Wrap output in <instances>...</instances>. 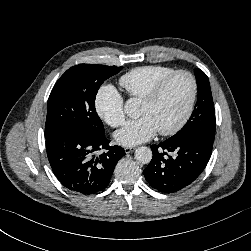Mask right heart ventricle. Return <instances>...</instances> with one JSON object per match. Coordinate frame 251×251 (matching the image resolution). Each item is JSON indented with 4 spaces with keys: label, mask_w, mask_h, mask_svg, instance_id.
Returning <instances> with one entry per match:
<instances>
[{
    "label": "right heart ventricle",
    "mask_w": 251,
    "mask_h": 251,
    "mask_svg": "<svg viewBox=\"0 0 251 251\" xmlns=\"http://www.w3.org/2000/svg\"><path fill=\"white\" fill-rule=\"evenodd\" d=\"M175 71L172 67L162 65L137 67L122 75L119 84L130 98L142 99L156 84Z\"/></svg>",
    "instance_id": "right-heart-ventricle-1"
}]
</instances>
